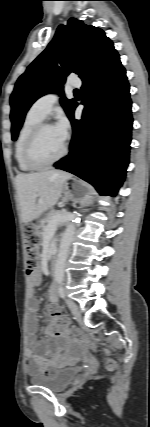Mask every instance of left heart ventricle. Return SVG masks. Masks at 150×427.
Listing matches in <instances>:
<instances>
[{"label": "left heart ventricle", "instance_id": "left-heart-ventricle-1", "mask_svg": "<svg viewBox=\"0 0 150 427\" xmlns=\"http://www.w3.org/2000/svg\"><path fill=\"white\" fill-rule=\"evenodd\" d=\"M66 140L57 129H44L38 136L33 147V159L38 163H46L56 158L63 151Z\"/></svg>", "mask_w": 150, "mask_h": 427}]
</instances>
